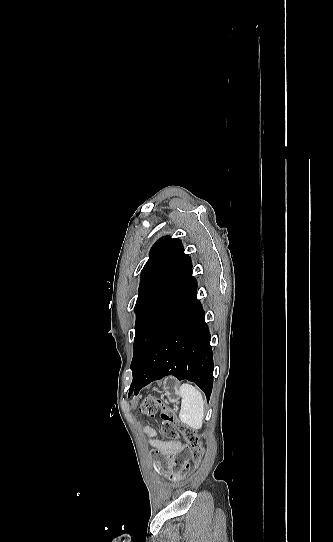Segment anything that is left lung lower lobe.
Listing matches in <instances>:
<instances>
[{"label": "left lung lower lobe", "instance_id": "1", "mask_svg": "<svg viewBox=\"0 0 333 542\" xmlns=\"http://www.w3.org/2000/svg\"><path fill=\"white\" fill-rule=\"evenodd\" d=\"M205 313L197 299V284L165 322L150 344L129 396L154 380L173 375L196 383L207 400L213 387V352Z\"/></svg>", "mask_w": 333, "mask_h": 542}]
</instances>
